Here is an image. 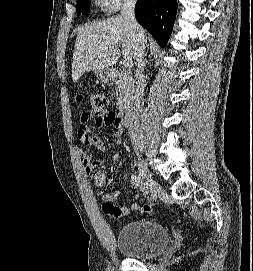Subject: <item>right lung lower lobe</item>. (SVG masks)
Masks as SVG:
<instances>
[{
    "label": "right lung lower lobe",
    "mask_w": 253,
    "mask_h": 271,
    "mask_svg": "<svg viewBox=\"0 0 253 271\" xmlns=\"http://www.w3.org/2000/svg\"><path fill=\"white\" fill-rule=\"evenodd\" d=\"M135 11L137 21L164 48L167 45L176 18V0H138Z\"/></svg>",
    "instance_id": "1"
}]
</instances>
